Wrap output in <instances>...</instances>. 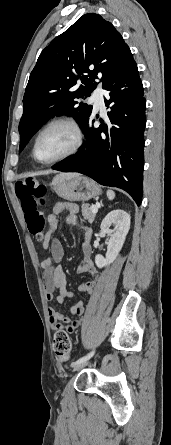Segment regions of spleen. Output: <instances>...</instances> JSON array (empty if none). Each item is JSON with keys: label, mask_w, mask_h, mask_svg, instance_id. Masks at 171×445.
I'll return each mask as SVG.
<instances>
[{"label": "spleen", "mask_w": 171, "mask_h": 445, "mask_svg": "<svg viewBox=\"0 0 171 445\" xmlns=\"http://www.w3.org/2000/svg\"><path fill=\"white\" fill-rule=\"evenodd\" d=\"M107 198L109 199V200H113L114 199V197H115V193H114V191H112V190H107Z\"/></svg>", "instance_id": "1"}]
</instances>
